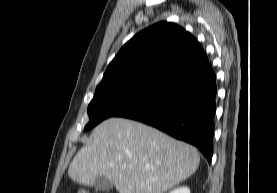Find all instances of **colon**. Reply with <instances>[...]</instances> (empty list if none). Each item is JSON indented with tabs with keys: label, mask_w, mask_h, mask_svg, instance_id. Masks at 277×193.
Wrapping results in <instances>:
<instances>
[{
	"label": "colon",
	"mask_w": 277,
	"mask_h": 193,
	"mask_svg": "<svg viewBox=\"0 0 277 193\" xmlns=\"http://www.w3.org/2000/svg\"><path fill=\"white\" fill-rule=\"evenodd\" d=\"M77 193H90V192L87 190H79Z\"/></svg>",
	"instance_id": "1"
}]
</instances>
